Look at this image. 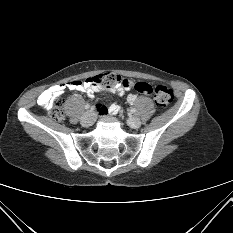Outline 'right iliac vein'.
I'll return each mask as SVG.
<instances>
[{
	"label": "right iliac vein",
	"instance_id": "right-iliac-vein-1",
	"mask_svg": "<svg viewBox=\"0 0 233 233\" xmlns=\"http://www.w3.org/2000/svg\"><path fill=\"white\" fill-rule=\"evenodd\" d=\"M96 115L92 111L85 112L81 117V124L82 126L88 127L91 126L95 121Z\"/></svg>",
	"mask_w": 233,
	"mask_h": 233
}]
</instances>
